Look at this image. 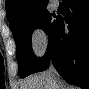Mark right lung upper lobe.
<instances>
[{
    "instance_id": "right-lung-upper-lobe-1",
    "label": "right lung upper lobe",
    "mask_w": 89,
    "mask_h": 89,
    "mask_svg": "<svg viewBox=\"0 0 89 89\" xmlns=\"http://www.w3.org/2000/svg\"><path fill=\"white\" fill-rule=\"evenodd\" d=\"M48 0H7L6 15L12 27L23 18L47 10Z\"/></svg>"
}]
</instances>
